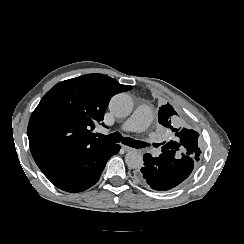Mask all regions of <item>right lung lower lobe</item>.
<instances>
[{"label":"right lung lower lobe","mask_w":244,"mask_h":244,"mask_svg":"<svg viewBox=\"0 0 244 244\" xmlns=\"http://www.w3.org/2000/svg\"><path fill=\"white\" fill-rule=\"evenodd\" d=\"M119 150L120 145L113 143L87 148L40 169L56 187L68 192H81L99 180L108 159Z\"/></svg>","instance_id":"1"}]
</instances>
